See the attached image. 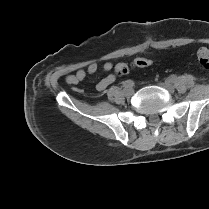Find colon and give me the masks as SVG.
I'll return each instance as SVG.
<instances>
[{
	"instance_id": "colon-1",
	"label": "colon",
	"mask_w": 209,
	"mask_h": 209,
	"mask_svg": "<svg viewBox=\"0 0 209 209\" xmlns=\"http://www.w3.org/2000/svg\"><path fill=\"white\" fill-rule=\"evenodd\" d=\"M199 62L200 64L209 69V50L208 49H202L199 52ZM136 64L141 67H147L152 64V61L149 59H142L141 61H137ZM117 74H124L127 72V66L125 64H119L116 67Z\"/></svg>"
}]
</instances>
